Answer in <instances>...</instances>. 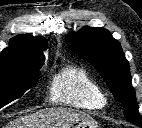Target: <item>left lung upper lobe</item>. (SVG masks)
I'll list each match as a JSON object with an SVG mask.
<instances>
[{
  "mask_svg": "<svg viewBox=\"0 0 142 128\" xmlns=\"http://www.w3.org/2000/svg\"><path fill=\"white\" fill-rule=\"evenodd\" d=\"M69 48L91 63L102 75L115 99L125 107L126 119L142 127L129 64L120 43L103 28L83 27L66 38Z\"/></svg>",
  "mask_w": 142,
  "mask_h": 128,
  "instance_id": "obj_1",
  "label": "left lung upper lobe"
}]
</instances>
